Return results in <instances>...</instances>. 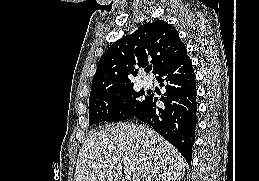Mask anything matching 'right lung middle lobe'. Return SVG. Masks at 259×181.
<instances>
[{
	"instance_id": "dd1d6c3e",
	"label": "right lung middle lobe",
	"mask_w": 259,
	"mask_h": 181,
	"mask_svg": "<svg viewBox=\"0 0 259 181\" xmlns=\"http://www.w3.org/2000/svg\"><path fill=\"white\" fill-rule=\"evenodd\" d=\"M143 95V91L136 92L133 87H127L89 98V125L132 118L148 100V97L140 99Z\"/></svg>"
}]
</instances>
